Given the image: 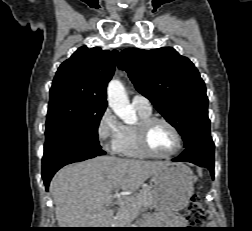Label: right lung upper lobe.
<instances>
[{
	"mask_svg": "<svg viewBox=\"0 0 252 231\" xmlns=\"http://www.w3.org/2000/svg\"><path fill=\"white\" fill-rule=\"evenodd\" d=\"M117 57V50L78 48L58 68L50 89V100L68 99L106 107V87L114 73Z\"/></svg>",
	"mask_w": 252,
	"mask_h": 231,
	"instance_id": "cb5924a9",
	"label": "right lung upper lobe"
}]
</instances>
